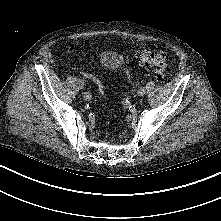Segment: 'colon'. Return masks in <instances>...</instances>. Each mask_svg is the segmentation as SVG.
Masks as SVG:
<instances>
[{
    "label": "colon",
    "instance_id": "colon-1",
    "mask_svg": "<svg viewBox=\"0 0 221 221\" xmlns=\"http://www.w3.org/2000/svg\"><path fill=\"white\" fill-rule=\"evenodd\" d=\"M138 56L140 63L150 68L157 79H162L165 76L167 61L165 54L162 51H151L148 49H143L139 52ZM85 75L94 84L99 95L103 97V86L99 78L91 72H87Z\"/></svg>",
    "mask_w": 221,
    "mask_h": 221
}]
</instances>
